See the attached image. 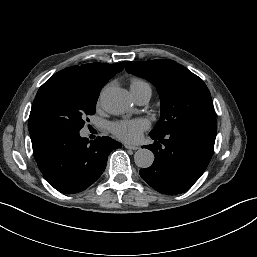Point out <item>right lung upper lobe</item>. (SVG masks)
I'll return each instance as SVG.
<instances>
[{"label": "right lung upper lobe", "instance_id": "right-lung-upper-lobe-1", "mask_svg": "<svg viewBox=\"0 0 257 257\" xmlns=\"http://www.w3.org/2000/svg\"><path fill=\"white\" fill-rule=\"evenodd\" d=\"M125 62L120 64L89 63L68 67L53 76L62 77L82 85L91 92H99L103 86L117 73L123 70Z\"/></svg>", "mask_w": 257, "mask_h": 257}]
</instances>
